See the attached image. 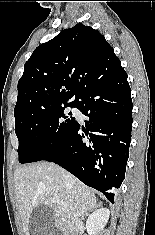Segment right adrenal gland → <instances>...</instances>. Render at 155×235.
<instances>
[{"label":"right adrenal gland","mask_w":155,"mask_h":235,"mask_svg":"<svg viewBox=\"0 0 155 235\" xmlns=\"http://www.w3.org/2000/svg\"><path fill=\"white\" fill-rule=\"evenodd\" d=\"M99 206H101V204H98V205H97V207H99ZM88 214H89V211H88V212H86V213H84V214H83V216H82V219H84V218H85V216H87Z\"/></svg>","instance_id":"1"}]
</instances>
